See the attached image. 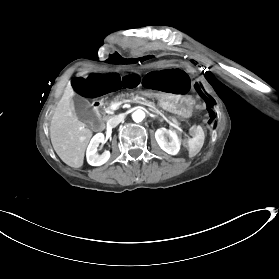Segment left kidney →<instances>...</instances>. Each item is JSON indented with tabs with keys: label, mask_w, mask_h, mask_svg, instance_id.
<instances>
[{
	"label": "left kidney",
	"mask_w": 279,
	"mask_h": 279,
	"mask_svg": "<svg viewBox=\"0 0 279 279\" xmlns=\"http://www.w3.org/2000/svg\"><path fill=\"white\" fill-rule=\"evenodd\" d=\"M155 139L160 148L167 154L176 155L178 153L181 140L171 130L166 128L157 129Z\"/></svg>",
	"instance_id": "5707ae66"
}]
</instances>
